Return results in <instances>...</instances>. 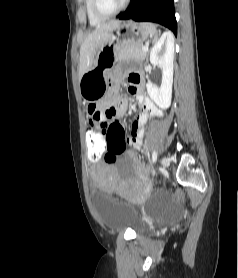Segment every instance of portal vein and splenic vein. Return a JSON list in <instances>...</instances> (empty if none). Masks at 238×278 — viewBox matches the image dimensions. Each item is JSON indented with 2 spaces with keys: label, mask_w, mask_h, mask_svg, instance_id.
Returning a JSON list of instances; mask_svg holds the SVG:
<instances>
[{
  "label": "portal vein and splenic vein",
  "mask_w": 238,
  "mask_h": 278,
  "mask_svg": "<svg viewBox=\"0 0 238 278\" xmlns=\"http://www.w3.org/2000/svg\"><path fill=\"white\" fill-rule=\"evenodd\" d=\"M142 50H143L144 52H146V51H148V47L143 46V47H142Z\"/></svg>",
  "instance_id": "obj_1"
}]
</instances>
